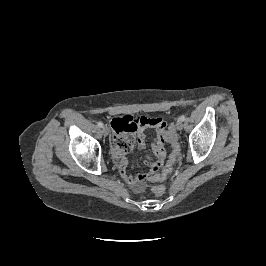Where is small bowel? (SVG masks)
<instances>
[{
	"instance_id": "small-bowel-1",
	"label": "small bowel",
	"mask_w": 266,
	"mask_h": 266,
	"mask_svg": "<svg viewBox=\"0 0 266 266\" xmlns=\"http://www.w3.org/2000/svg\"><path fill=\"white\" fill-rule=\"evenodd\" d=\"M166 126V122L158 117L119 116L111 121L113 152L118 160L120 175L135 192L143 191L144 180L159 170L164 163L166 157L165 143L168 141ZM146 127H153L157 133V137L151 145L154 157L147 162L149 166L147 174L136 172L132 175L128 172L130 153L135 146L139 149L145 147L143 130Z\"/></svg>"
}]
</instances>
